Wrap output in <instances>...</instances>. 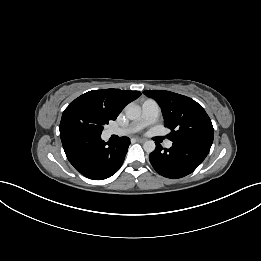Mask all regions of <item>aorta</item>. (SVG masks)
Wrapping results in <instances>:
<instances>
[{
	"label": "aorta",
	"mask_w": 261,
	"mask_h": 261,
	"mask_svg": "<svg viewBox=\"0 0 261 261\" xmlns=\"http://www.w3.org/2000/svg\"><path fill=\"white\" fill-rule=\"evenodd\" d=\"M125 114L130 120H136L141 116V107L136 104H129L125 109ZM155 142L148 140L143 144V148L146 152L151 153L155 150Z\"/></svg>",
	"instance_id": "aorta-1"
}]
</instances>
